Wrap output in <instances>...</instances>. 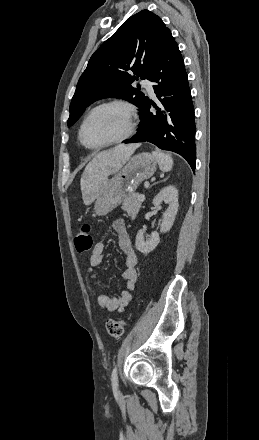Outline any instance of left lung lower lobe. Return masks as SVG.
<instances>
[{"label": "left lung lower lobe", "instance_id": "left-lung-lower-lobe-1", "mask_svg": "<svg viewBox=\"0 0 259 440\" xmlns=\"http://www.w3.org/2000/svg\"><path fill=\"white\" fill-rule=\"evenodd\" d=\"M160 101L153 104L157 113H151L148 101L140 114L138 132L125 143L150 142L163 150L173 151L187 160L193 171L196 162L195 120L188 77L177 43L171 34L150 71L149 79Z\"/></svg>", "mask_w": 259, "mask_h": 440}]
</instances>
